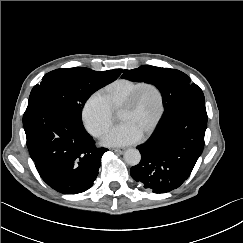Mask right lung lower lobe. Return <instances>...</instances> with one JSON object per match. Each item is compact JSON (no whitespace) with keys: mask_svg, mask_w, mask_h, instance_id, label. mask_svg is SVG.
Instances as JSON below:
<instances>
[{"mask_svg":"<svg viewBox=\"0 0 243 243\" xmlns=\"http://www.w3.org/2000/svg\"><path fill=\"white\" fill-rule=\"evenodd\" d=\"M23 125L30 156L51 188L77 194L93 185L108 149L97 148L68 109L47 100L29 101Z\"/></svg>","mask_w":243,"mask_h":243,"instance_id":"right-lung-lower-lobe-1","label":"right lung lower lobe"}]
</instances>
